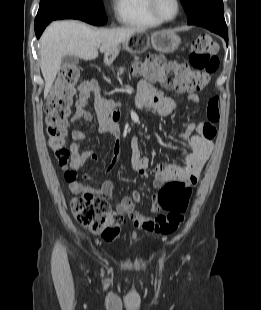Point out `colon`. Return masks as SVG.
Returning a JSON list of instances; mask_svg holds the SVG:
<instances>
[{
    "mask_svg": "<svg viewBox=\"0 0 261 310\" xmlns=\"http://www.w3.org/2000/svg\"><path fill=\"white\" fill-rule=\"evenodd\" d=\"M217 50L218 47L213 38L210 35L201 34L192 46L189 65L166 61L158 55H150L144 62L137 64L135 70L171 91L179 93L200 91L208 84L209 75L218 67ZM79 77L80 72L75 65H64L58 73L46 106L48 144L58 164L63 168H66L70 158L66 137ZM206 117V121L197 125V130L205 138L213 139L216 135L215 123L220 117L217 97H212L208 101ZM65 179L68 182H74L77 180V175L73 171L66 170ZM192 186L191 182L184 180L167 182L154 201L167 213L146 223L144 228L160 234H171L177 231L184 222ZM70 206L73 216L83 228L100 235L109 242L119 238L125 218L112 213L104 197L92 192H83L72 198Z\"/></svg>",
    "mask_w": 261,
    "mask_h": 310,
    "instance_id": "1",
    "label": "colon"
}]
</instances>
